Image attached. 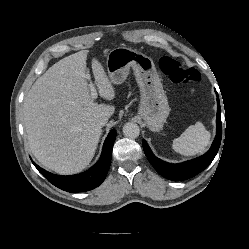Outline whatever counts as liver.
Returning <instances> with one entry per match:
<instances>
[{
    "label": "liver",
    "instance_id": "obj_1",
    "mask_svg": "<svg viewBox=\"0 0 249 249\" xmlns=\"http://www.w3.org/2000/svg\"><path fill=\"white\" fill-rule=\"evenodd\" d=\"M88 52L79 51L52 65L24 98L30 151L45 168L61 175L79 173L89 165L102 133L96 121L115 111L114 106L95 103L90 95ZM92 70L100 97L113 100L112 82L96 58Z\"/></svg>",
    "mask_w": 249,
    "mask_h": 249
}]
</instances>
